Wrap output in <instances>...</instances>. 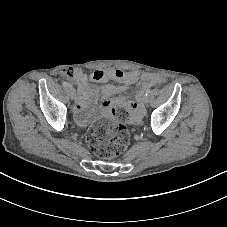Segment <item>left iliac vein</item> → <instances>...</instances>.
I'll list each match as a JSON object with an SVG mask.
<instances>
[{
	"label": "left iliac vein",
	"instance_id": "obj_1",
	"mask_svg": "<svg viewBox=\"0 0 227 227\" xmlns=\"http://www.w3.org/2000/svg\"><path fill=\"white\" fill-rule=\"evenodd\" d=\"M143 102H144L145 104H147V103L149 102V97H148V96H144Z\"/></svg>",
	"mask_w": 227,
	"mask_h": 227
}]
</instances>
